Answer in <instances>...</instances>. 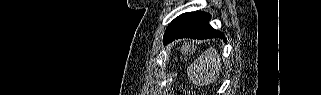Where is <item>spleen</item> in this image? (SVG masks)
<instances>
[{
    "label": "spleen",
    "mask_w": 321,
    "mask_h": 95,
    "mask_svg": "<svg viewBox=\"0 0 321 95\" xmlns=\"http://www.w3.org/2000/svg\"><path fill=\"white\" fill-rule=\"evenodd\" d=\"M221 58L215 48L204 52L189 68L188 74L191 81L204 86L217 81L221 72Z\"/></svg>",
    "instance_id": "obj_1"
}]
</instances>
